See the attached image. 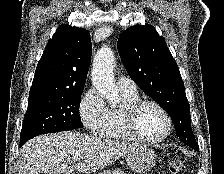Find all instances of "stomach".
I'll list each match as a JSON object with an SVG mask.
<instances>
[{
  "instance_id": "1",
  "label": "stomach",
  "mask_w": 224,
  "mask_h": 174,
  "mask_svg": "<svg viewBox=\"0 0 224 174\" xmlns=\"http://www.w3.org/2000/svg\"><path fill=\"white\" fill-rule=\"evenodd\" d=\"M128 167L138 174H143L149 171L157 161V155L155 151L146 147L140 146L131 151L125 157ZM121 174L117 172H110L105 170L100 174Z\"/></svg>"
}]
</instances>
